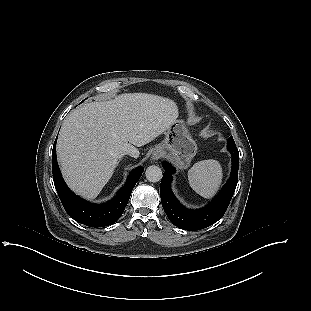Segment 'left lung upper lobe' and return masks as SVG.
Segmentation results:
<instances>
[{
    "label": "left lung upper lobe",
    "instance_id": "obj_1",
    "mask_svg": "<svg viewBox=\"0 0 311 311\" xmlns=\"http://www.w3.org/2000/svg\"><path fill=\"white\" fill-rule=\"evenodd\" d=\"M227 142H228V143H227V147H228V148H236L235 142H234L232 136L227 140Z\"/></svg>",
    "mask_w": 311,
    "mask_h": 311
}]
</instances>
